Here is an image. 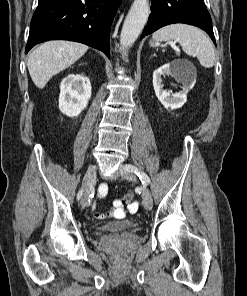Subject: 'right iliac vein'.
<instances>
[{
  "instance_id": "obj_1",
  "label": "right iliac vein",
  "mask_w": 247,
  "mask_h": 296,
  "mask_svg": "<svg viewBox=\"0 0 247 296\" xmlns=\"http://www.w3.org/2000/svg\"><path fill=\"white\" fill-rule=\"evenodd\" d=\"M96 178V167L93 166L88 169L87 173L85 174V177L83 179V188L84 192L81 198V204L82 206H87L89 199H90V192L93 187V184L95 182Z\"/></svg>"
}]
</instances>
